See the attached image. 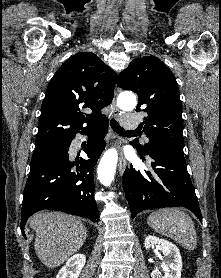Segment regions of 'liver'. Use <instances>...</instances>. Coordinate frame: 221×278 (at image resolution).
<instances>
[{"label":"liver","mask_w":221,"mask_h":278,"mask_svg":"<svg viewBox=\"0 0 221 278\" xmlns=\"http://www.w3.org/2000/svg\"><path fill=\"white\" fill-rule=\"evenodd\" d=\"M29 225L36 233L35 252L49 268L63 264L86 240L83 223L61 212L36 213L29 219Z\"/></svg>","instance_id":"liver-1"}]
</instances>
